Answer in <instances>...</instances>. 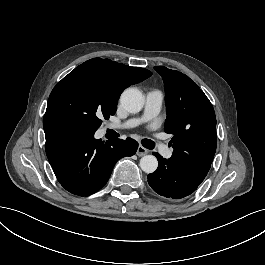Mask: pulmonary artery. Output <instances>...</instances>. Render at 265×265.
Returning <instances> with one entry per match:
<instances>
[{"label": "pulmonary artery", "instance_id": "e3ab8cb5", "mask_svg": "<svg viewBox=\"0 0 265 265\" xmlns=\"http://www.w3.org/2000/svg\"><path fill=\"white\" fill-rule=\"evenodd\" d=\"M165 102V95L159 88H152L145 94V114L142 119H130L122 125L109 124L111 129L132 128L147 120L150 116H157L160 113V106Z\"/></svg>", "mask_w": 265, "mask_h": 265}]
</instances>
